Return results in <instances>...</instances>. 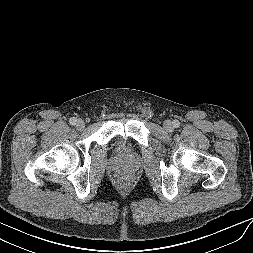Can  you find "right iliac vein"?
<instances>
[{
  "label": "right iliac vein",
  "instance_id": "right-iliac-vein-1",
  "mask_svg": "<svg viewBox=\"0 0 253 253\" xmlns=\"http://www.w3.org/2000/svg\"><path fill=\"white\" fill-rule=\"evenodd\" d=\"M84 127H85L84 121L81 120V119L77 120V122H76V128L79 129V130H81V129H83Z\"/></svg>",
  "mask_w": 253,
  "mask_h": 253
}]
</instances>
